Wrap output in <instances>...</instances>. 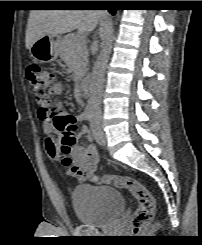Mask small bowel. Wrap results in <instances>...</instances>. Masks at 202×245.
<instances>
[{"label": "small bowel", "instance_id": "1", "mask_svg": "<svg viewBox=\"0 0 202 245\" xmlns=\"http://www.w3.org/2000/svg\"><path fill=\"white\" fill-rule=\"evenodd\" d=\"M79 105L82 104L80 99H77ZM57 114H63L61 103L53 106ZM78 121H83L84 115L77 117ZM42 130L46 138L47 151L50 155L53 149L58 150L59 144L55 141L53 135V126L50 122L43 121ZM82 134L86 137V141L76 139V144L71 148V156L76 163V172L69 171V175L76 177L80 181H90L97 170L98 166V152L94 145L90 144V134L86 127L82 128ZM53 156V155H52Z\"/></svg>", "mask_w": 202, "mask_h": 245}]
</instances>
